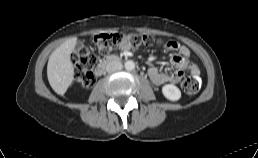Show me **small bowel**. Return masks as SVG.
<instances>
[{
	"mask_svg": "<svg viewBox=\"0 0 258 158\" xmlns=\"http://www.w3.org/2000/svg\"><path fill=\"white\" fill-rule=\"evenodd\" d=\"M170 50L178 52L170 59L171 65L175 68L172 72H160L156 67L148 69V75L155 85H162L165 83L175 84L178 83L185 72L194 76L199 75L200 70L197 65L189 61V49L178 42L171 41L167 46Z\"/></svg>",
	"mask_w": 258,
	"mask_h": 158,
	"instance_id": "c3829d8e",
	"label": "small bowel"
}]
</instances>
